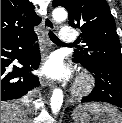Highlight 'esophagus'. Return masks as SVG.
<instances>
[{
    "instance_id": "1",
    "label": "esophagus",
    "mask_w": 122,
    "mask_h": 123,
    "mask_svg": "<svg viewBox=\"0 0 122 123\" xmlns=\"http://www.w3.org/2000/svg\"><path fill=\"white\" fill-rule=\"evenodd\" d=\"M43 26H44V39H45V42L48 46H50V42H49V38H48V31L53 30L55 28L54 22H53V20L51 19L50 16L47 15V16L44 17ZM41 82L44 86H47L51 89L54 87L53 81H51L48 78H42Z\"/></svg>"
}]
</instances>
